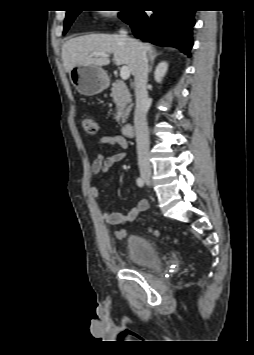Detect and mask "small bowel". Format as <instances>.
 I'll return each mask as SVG.
<instances>
[{
  "mask_svg": "<svg viewBox=\"0 0 254 355\" xmlns=\"http://www.w3.org/2000/svg\"><path fill=\"white\" fill-rule=\"evenodd\" d=\"M99 146H119L123 149L128 147V140L121 134H108L99 138ZM126 157L125 153H116L113 155H106L103 152L98 153L91 165V171L94 174L107 173L116 163L122 161ZM90 195L94 199L100 198V192L98 188L92 187L90 189ZM148 201L141 199L137 202L128 213L122 214L119 212H113L108 209L102 211V218L107 224L110 225H124L128 222L134 221L140 212L148 209ZM126 236V230L118 229L115 231V237L117 239H123Z\"/></svg>",
  "mask_w": 254,
  "mask_h": 355,
  "instance_id": "small-bowel-1",
  "label": "small bowel"
}]
</instances>
